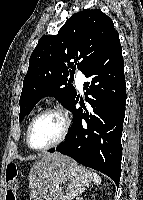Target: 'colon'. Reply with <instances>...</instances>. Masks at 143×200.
<instances>
[{"mask_svg": "<svg viewBox=\"0 0 143 200\" xmlns=\"http://www.w3.org/2000/svg\"><path fill=\"white\" fill-rule=\"evenodd\" d=\"M6 199L16 200V191L18 188V169L15 164H9L6 169L5 178Z\"/></svg>", "mask_w": 143, "mask_h": 200, "instance_id": "1", "label": "colon"}]
</instances>
